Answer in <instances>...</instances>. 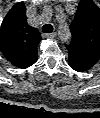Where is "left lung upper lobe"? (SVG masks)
I'll return each instance as SVG.
<instances>
[{
  "instance_id": "1",
  "label": "left lung upper lobe",
  "mask_w": 100,
  "mask_h": 118,
  "mask_svg": "<svg viewBox=\"0 0 100 118\" xmlns=\"http://www.w3.org/2000/svg\"><path fill=\"white\" fill-rule=\"evenodd\" d=\"M70 30L68 63L78 72L86 71L100 59V9L92 1L82 0Z\"/></svg>"
}]
</instances>
